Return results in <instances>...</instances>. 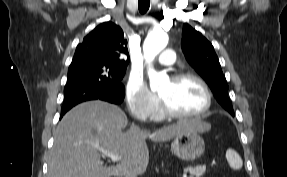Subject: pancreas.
Here are the masks:
<instances>
[{
  "label": "pancreas",
  "mask_w": 287,
  "mask_h": 177,
  "mask_svg": "<svg viewBox=\"0 0 287 177\" xmlns=\"http://www.w3.org/2000/svg\"><path fill=\"white\" fill-rule=\"evenodd\" d=\"M205 166L187 167L184 171L189 172L191 177H201L205 173Z\"/></svg>",
  "instance_id": "pancreas-1"
}]
</instances>
